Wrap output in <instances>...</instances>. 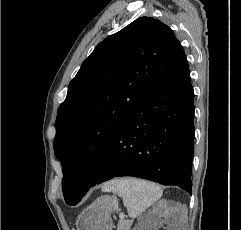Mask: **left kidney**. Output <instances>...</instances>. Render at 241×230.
Listing matches in <instances>:
<instances>
[{"mask_svg":"<svg viewBox=\"0 0 241 230\" xmlns=\"http://www.w3.org/2000/svg\"><path fill=\"white\" fill-rule=\"evenodd\" d=\"M154 227H155L154 225L146 224L141 226L138 230H153Z\"/></svg>","mask_w":241,"mask_h":230,"instance_id":"left-kidney-1","label":"left kidney"}]
</instances>
